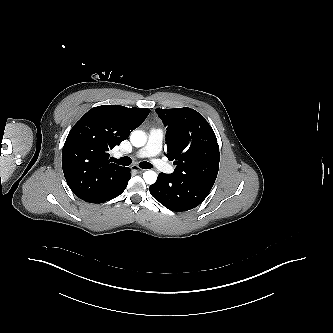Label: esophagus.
Here are the masks:
<instances>
[{
  "mask_svg": "<svg viewBox=\"0 0 333 333\" xmlns=\"http://www.w3.org/2000/svg\"><path fill=\"white\" fill-rule=\"evenodd\" d=\"M131 169H132V170H135V171H137V172H140V173H142V172L144 171V169L140 168V167L137 166V165H132V166H131Z\"/></svg>",
  "mask_w": 333,
  "mask_h": 333,
  "instance_id": "34e87169",
  "label": "esophagus"
}]
</instances>
